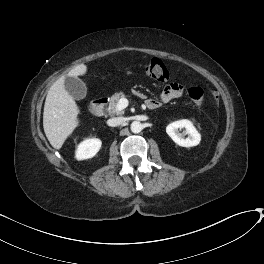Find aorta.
Returning <instances> with one entry per match:
<instances>
[{"instance_id":"1","label":"aorta","mask_w":264,"mask_h":264,"mask_svg":"<svg viewBox=\"0 0 264 264\" xmlns=\"http://www.w3.org/2000/svg\"><path fill=\"white\" fill-rule=\"evenodd\" d=\"M130 129H131V131H132L133 133H139V132L142 131V129H143V125H142V123L139 122V121H133V122L131 123Z\"/></svg>"}]
</instances>
